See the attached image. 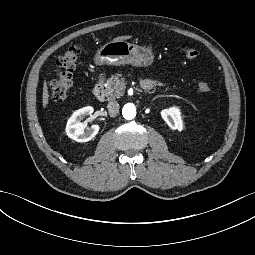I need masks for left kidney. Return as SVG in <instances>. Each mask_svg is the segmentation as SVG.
Here are the masks:
<instances>
[{
  "mask_svg": "<svg viewBox=\"0 0 255 255\" xmlns=\"http://www.w3.org/2000/svg\"><path fill=\"white\" fill-rule=\"evenodd\" d=\"M161 116L171 129L178 131L183 130V120L181 118V111L178 107L162 110Z\"/></svg>",
  "mask_w": 255,
  "mask_h": 255,
  "instance_id": "obj_1",
  "label": "left kidney"
}]
</instances>
